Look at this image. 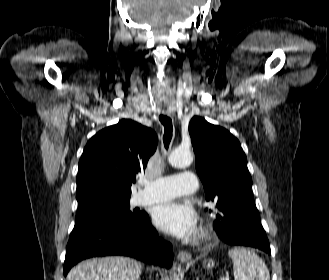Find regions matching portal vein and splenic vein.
Masks as SVG:
<instances>
[{"mask_svg":"<svg viewBox=\"0 0 329 280\" xmlns=\"http://www.w3.org/2000/svg\"><path fill=\"white\" fill-rule=\"evenodd\" d=\"M221 280H229V277L222 278Z\"/></svg>","mask_w":329,"mask_h":280,"instance_id":"1","label":"portal vein and splenic vein"}]
</instances>
